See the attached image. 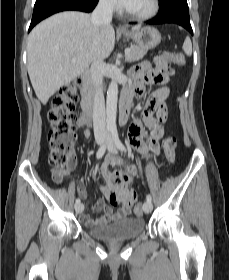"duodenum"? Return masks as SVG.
<instances>
[{
  "mask_svg": "<svg viewBox=\"0 0 229 280\" xmlns=\"http://www.w3.org/2000/svg\"><path fill=\"white\" fill-rule=\"evenodd\" d=\"M83 86L81 89V108L84 112L86 123H91L92 113L95 106L94 85L92 74L84 72L81 75ZM132 94L123 92L120 99V123L124 125L127 122L131 109Z\"/></svg>",
  "mask_w": 229,
  "mask_h": 280,
  "instance_id": "obj_1",
  "label": "duodenum"
}]
</instances>
